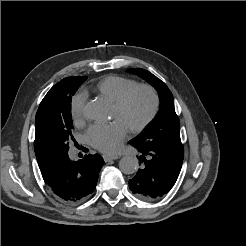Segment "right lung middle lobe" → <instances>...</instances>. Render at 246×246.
I'll return each mask as SVG.
<instances>
[{"instance_id":"obj_1","label":"right lung middle lobe","mask_w":246,"mask_h":246,"mask_svg":"<svg viewBox=\"0 0 246 246\" xmlns=\"http://www.w3.org/2000/svg\"><path fill=\"white\" fill-rule=\"evenodd\" d=\"M86 77H78L55 87L43 99V139L50 158L68 154L71 130V99Z\"/></svg>"}]
</instances>
